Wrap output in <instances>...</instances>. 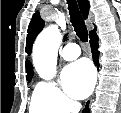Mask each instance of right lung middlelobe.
Listing matches in <instances>:
<instances>
[{
    "instance_id": "1",
    "label": "right lung middle lobe",
    "mask_w": 121,
    "mask_h": 113,
    "mask_svg": "<svg viewBox=\"0 0 121 113\" xmlns=\"http://www.w3.org/2000/svg\"><path fill=\"white\" fill-rule=\"evenodd\" d=\"M27 80H31V77L30 78H27Z\"/></svg>"
}]
</instances>
